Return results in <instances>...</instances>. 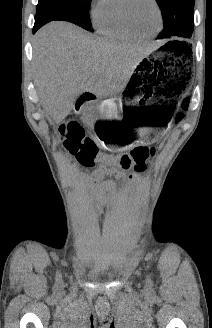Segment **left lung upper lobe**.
I'll list each match as a JSON object with an SVG mask.
<instances>
[{
    "label": "left lung upper lobe",
    "mask_w": 212,
    "mask_h": 328,
    "mask_svg": "<svg viewBox=\"0 0 212 328\" xmlns=\"http://www.w3.org/2000/svg\"><path fill=\"white\" fill-rule=\"evenodd\" d=\"M163 16L164 29L158 39L171 36L190 38L194 27V0H156Z\"/></svg>",
    "instance_id": "left-lung-upper-lobe-1"
}]
</instances>
